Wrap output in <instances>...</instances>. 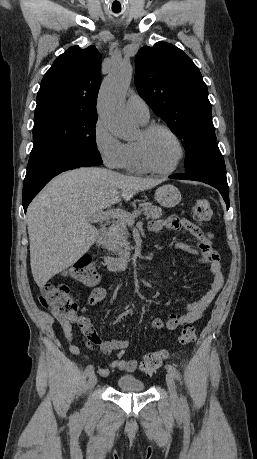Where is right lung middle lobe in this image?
<instances>
[{
  "label": "right lung middle lobe",
  "mask_w": 257,
  "mask_h": 459,
  "mask_svg": "<svg viewBox=\"0 0 257 459\" xmlns=\"http://www.w3.org/2000/svg\"><path fill=\"white\" fill-rule=\"evenodd\" d=\"M98 116L70 109L35 112L33 149L30 155L55 150H73L101 159L96 148Z\"/></svg>",
  "instance_id": "obj_1"
}]
</instances>
